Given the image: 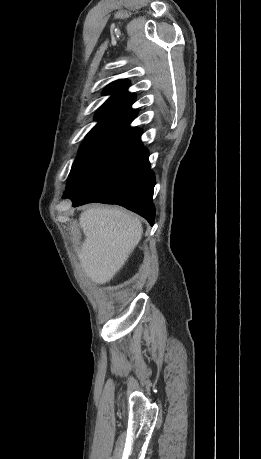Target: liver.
<instances>
[{
	"instance_id": "obj_1",
	"label": "liver",
	"mask_w": 261,
	"mask_h": 459,
	"mask_svg": "<svg viewBox=\"0 0 261 459\" xmlns=\"http://www.w3.org/2000/svg\"><path fill=\"white\" fill-rule=\"evenodd\" d=\"M85 239L78 257L91 281L109 282L123 267L142 238L140 219L125 210L94 206L81 213Z\"/></svg>"
}]
</instances>
